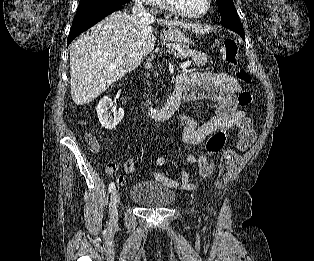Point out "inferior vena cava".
I'll return each instance as SVG.
<instances>
[{
  "label": "inferior vena cava",
  "instance_id": "obj_1",
  "mask_svg": "<svg viewBox=\"0 0 314 261\" xmlns=\"http://www.w3.org/2000/svg\"><path fill=\"white\" fill-rule=\"evenodd\" d=\"M132 13L144 20H150L153 19L152 16L145 11V8L142 4V0H136L135 6L132 8Z\"/></svg>",
  "mask_w": 314,
  "mask_h": 261
}]
</instances>
